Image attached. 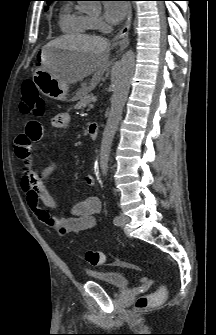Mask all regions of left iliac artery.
<instances>
[{"label": "left iliac artery", "instance_id": "44dca946", "mask_svg": "<svg viewBox=\"0 0 216 335\" xmlns=\"http://www.w3.org/2000/svg\"><path fill=\"white\" fill-rule=\"evenodd\" d=\"M119 221H120V217L115 216L114 219H113L114 224L116 225Z\"/></svg>", "mask_w": 216, "mask_h": 335}]
</instances>
